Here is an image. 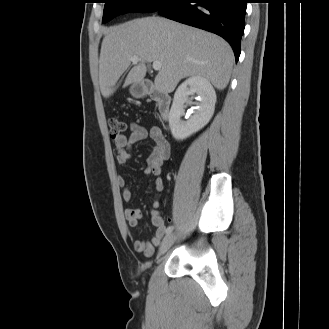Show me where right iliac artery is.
<instances>
[{"instance_id":"1","label":"right iliac artery","mask_w":329,"mask_h":329,"mask_svg":"<svg viewBox=\"0 0 329 329\" xmlns=\"http://www.w3.org/2000/svg\"><path fill=\"white\" fill-rule=\"evenodd\" d=\"M173 230V226H169L167 229H166V235L170 234Z\"/></svg>"}]
</instances>
